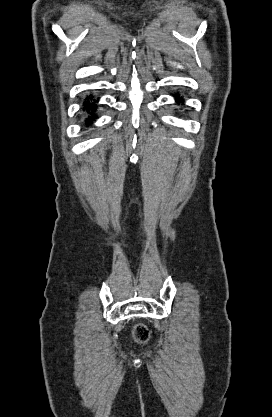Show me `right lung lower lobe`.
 I'll return each instance as SVG.
<instances>
[{"mask_svg":"<svg viewBox=\"0 0 272 417\" xmlns=\"http://www.w3.org/2000/svg\"><path fill=\"white\" fill-rule=\"evenodd\" d=\"M88 99H93V96L91 95L90 97H88ZM97 102H98V99H97ZM94 108H95V103L93 102V103H91V102H89V101H86L85 102V105H84V109H86V110H91V111H94ZM96 116H94V115H92V117H89L86 121H87V124H91L92 123V121L94 120L93 118H95Z\"/></svg>","mask_w":272,"mask_h":417,"instance_id":"98d812e1","label":"right lung lower lobe"}]
</instances>
